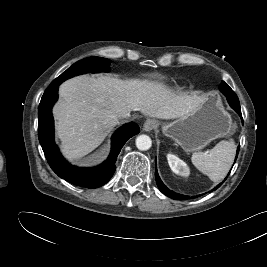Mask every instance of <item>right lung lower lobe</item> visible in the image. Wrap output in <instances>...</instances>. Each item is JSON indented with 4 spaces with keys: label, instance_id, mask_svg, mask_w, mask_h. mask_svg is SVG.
I'll return each instance as SVG.
<instances>
[{
    "label": "right lung lower lobe",
    "instance_id": "right-lung-lower-lobe-1",
    "mask_svg": "<svg viewBox=\"0 0 267 267\" xmlns=\"http://www.w3.org/2000/svg\"><path fill=\"white\" fill-rule=\"evenodd\" d=\"M57 82L46 89L38 109V137L47 161L52 170L61 178L72 184L97 188L107 183L113 176L117 158L126 141L140 132V128L134 122L128 123L117 130L112 136V148L108 159L97 167L79 168L69 164L60 154L55 141L53 130V117L51 109L58 98Z\"/></svg>",
    "mask_w": 267,
    "mask_h": 267
}]
</instances>
